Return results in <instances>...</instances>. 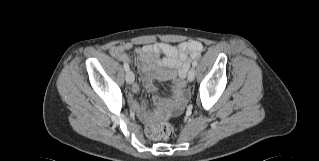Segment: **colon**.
<instances>
[{
    "instance_id": "colon-1",
    "label": "colon",
    "mask_w": 319,
    "mask_h": 161,
    "mask_svg": "<svg viewBox=\"0 0 319 161\" xmlns=\"http://www.w3.org/2000/svg\"><path fill=\"white\" fill-rule=\"evenodd\" d=\"M169 118L170 113L167 110H161L150 119L145 128L146 135L151 139H168L173 133Z\"/></svg>"
}]
</instances>
